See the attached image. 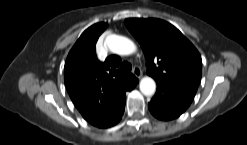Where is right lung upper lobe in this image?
Returning a JSON list of instances; mask_svg holds the SVG:
<instances>
[{"mask_svg": "<svg viewBox=\"0 0 247 145\" xmlns=\"http://www.w3.org/2000/svg\"><path fill=\"white\" fill-rule=\"evenodd\" d=\"M106 28L107 23H97L86 29L70 50L64 67L70 98L83 117L97 127L121 112L125 92L137 80L133 74H120L118 56L98 61L95 46Z\"/></svg>", "mask_w": 247, "mask_h": 145, "instance_id": "cb5924a9", "label": "right lung upper lobe"}]
</instances>
